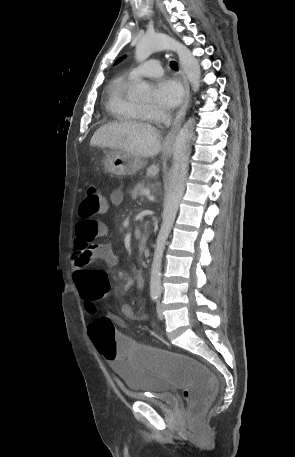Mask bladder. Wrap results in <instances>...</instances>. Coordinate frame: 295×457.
Listing matches in <instances>:
<instances>
[{
  "label": "bladder",
  "mask_w": 295,
  "mask_h": 457,
  "mask_svg": "<svg viewBox=\"0 0 295 457\" xmlns=\"http://www.w3.org/2000/svg\"><path fill=\"white\" fill-rule=\"evenodd\" d=\"M112 369L124 389L136 397L158 407L159 411H178L176 396L167 390V382L160 374H142L138 366H120L119 362L112 363Z\"/></svg>",
  "instance_id": "1"
}]
</instances>
